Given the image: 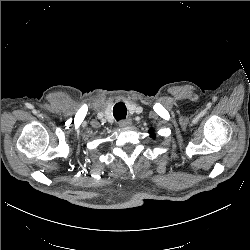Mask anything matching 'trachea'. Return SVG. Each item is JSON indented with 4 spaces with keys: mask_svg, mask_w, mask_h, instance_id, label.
I'll use <instances>...</instances> for the list:
<instances>
[{
    "mask_svg": "<svg viewBox=\"0 0 250 250\" xmlns=\"http://www.w3.org/2000/svg\"><path fill=\"white\" fill-rule=\"evenodd\" d=\"M127 114V108L124 103L119 102L115 104L113 108V115L117 121L125 119Z\"/></svg>",
    "mask_w": 250,
    "mask_h": 250,
    "instance_id": "obj_1",
    "label": "trachea"
}]
</instances>
